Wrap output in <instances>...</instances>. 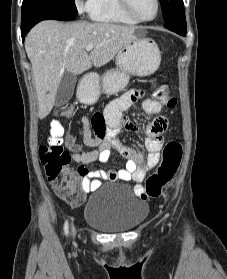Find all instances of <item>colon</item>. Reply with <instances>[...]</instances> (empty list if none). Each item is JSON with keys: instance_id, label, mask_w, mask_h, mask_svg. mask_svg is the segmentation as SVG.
<instances>
[{"instance_id": "colon-1", "label": "colon", "mask_w": 227, "mask_h": 279, "mask_svg": "<svg viewBox=\"0 0 227 279\" xmlns=\"http://www.w3.org/2000/svg\"><path fill=\"white\" fill-rule=\"evenodd\" d=\"M157 90V98L165 106L173 108L177 105V99L166 86V77L162 76L159 83L153 84ZM74 106L65 105L59 109L60 119L70 118L74 113ZM52 123L50 137L46 145L39 147L40 162L45 168L48 180L52 183L58 196L68 204L80 202L78 180L65 168L71 162V156L64 151L62 144L63 125L61 120ZM94 128L98 133L104 131V119L96 113L92 117ZM182 159V145L179 141H169L163 149L162 159L158 168L146 179L145 186L135 194L143 199L159 198L163 189L173 180Z\"/></svg>"}]
</instances>
